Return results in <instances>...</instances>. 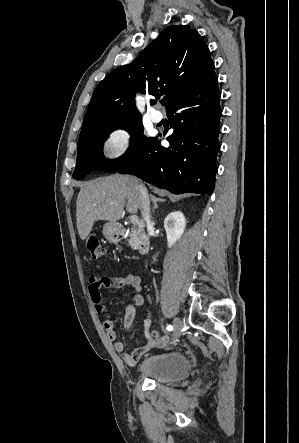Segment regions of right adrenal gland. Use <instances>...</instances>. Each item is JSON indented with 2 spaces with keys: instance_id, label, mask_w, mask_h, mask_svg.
Returning a JSON list of instances; mask_svg holds the SVG:
<instances>
[{
  "instance_id": "obj_1",
  "label": "right adrenal gland",
  "mask_w": 299,
  "mask_h": 443,
  "mask_svg": "<svg viewBox=\"0 0 299 443\" xmlns=\"http://www.w3.org/2000/svg\"><path fill=\"white\" fill-rule=\"evenodd\" d=\"M150 196H151V200L153 202L152 212L155 213V210L158 208V203L165 202V199L157 198L154 195H150Z\"/></svg>"
}]
</instances>
